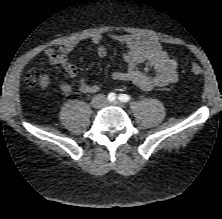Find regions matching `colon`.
Segmentation results:
<instances>
[{
	"label": "colon",
	"mask_w": 222,
	"mask_h": 219,
	"mask_svg": "<svg viewBox=\"0 0 222 219\" xmlns=\"http://www.w3.org/2000/svg\"><path fill=\"white\" fill-rule=\"evenodd\" d=\"M189 71L191 74L194 76L200 77L203 74L202 68L195 64V63H190L189 66ZM40 80V73L37 69H30L25 76V81L29 86H36L39 83Z\"/></svg>",
	"instance_id": "5ec220e1"
}]
</instances>
